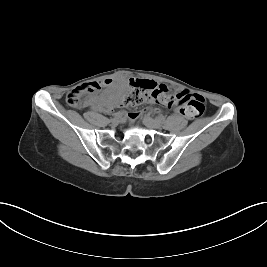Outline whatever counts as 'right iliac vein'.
I'll use <instances>...</instances> for the list:
<instances>
[{"instance_id":"obj_1","label":"right iliac vein","mask_w":267,"mask_h":267,"mask_svg":"<svg viewBox=\"0 0 267 267\" xmlns=\"http://www.w3.org/2000/svg\"><path fill=\"white\" fill-rule=\"evenodd\" d=\"M111 122H112L113 124H118V123L120 122V117L113 118V119L111 120Z\"/></svg>"}]
</instances>
